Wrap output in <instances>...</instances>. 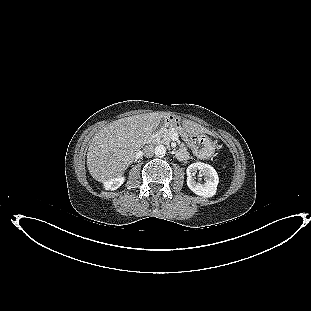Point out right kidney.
Returning a JSON list of instances; mask_svg holds the SVG:
<instances>
[{
    "mask_svg": "<svg viewBox=\"0 0 311 311\" xmlns=\"http://www.w3.org/2000/svg\"><path fill=\"white\" fill-rule=\"evenodd\" d=\"M124 182V177H117L105 183L106 190H116L119 188Z\"/></svg>",
    "mask_w": 311,
    "mask_h": 311,
    "instance_id": "obj_1",
    "label": "right kidney"
}]
</instances>
